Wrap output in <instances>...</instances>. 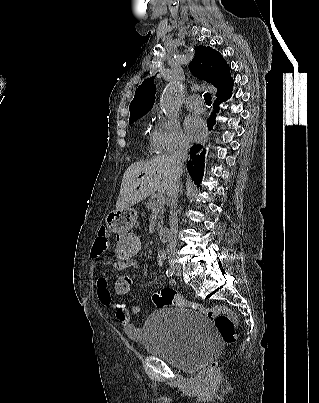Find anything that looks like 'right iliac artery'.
Instances as JSON below:
<instances>
[{
	"label": "right iliac artery",
	"instance_id": "right-iliac-artery-1",
	"mask_svg": "<svg viewBox=\"0 0 319 403\" xmlns=\"http://www.w3.org/2000/svg\"><path fill=\"white\" fill-rule=\"evenodd\" d=\"M173 273H174V271H173L172 269H168V270L166 271L167 276H172Z\"/></svg>",
	"mask_w": 319,
	"mask_h": 403
}]
</instances>
